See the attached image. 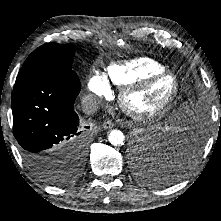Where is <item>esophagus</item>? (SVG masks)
Returning a JSON list of instances; mask_svg holds the SVG:
<instances>
[{
	"instance_id": "esophagus-1",
	"label": "esophagus",
	"mask_w": 221,
	"mask_h": 221,
	"mask_svg": "<svg viewBox=\"0 0 221 221\" xmlns=\"http://www.w3.org/2000/svg\"><path fill=\"white\" fill-rule=\"evenodd\" d=\"M114 126L113 122L111 120H105L103 122V128L104 129H110Z\"/></svg>"
}]
</instances>
